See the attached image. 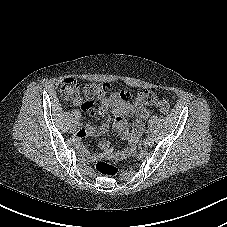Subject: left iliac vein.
<instances>
[{
	"mask_svg": "<svg viewBox=\"0 0 227 227\" xmlns=\"http://www.w3.org/2000/svg\"><path fill=\"white\" fill-rule=\"evenodd\" d=\"M154 143V140L151 136H147L144 141H143V144L148 147V146H151L152 144Z\"/></svg>",
	"mask_w": 227,
	"mask_h": 227,
	"instance_id": "left-iliac-vein-1",
	"label": "left iliac vein"
}]
</instances>
